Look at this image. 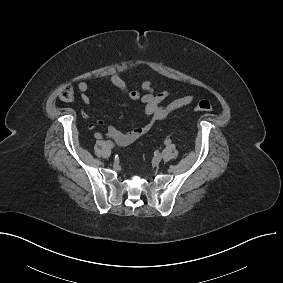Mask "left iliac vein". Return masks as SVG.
<instances>
[{
  "instance_id": "left-iliac-vein-1",
  "label": "left iliac vein",
  "mask_w": 283,
  "mask_h": 283,
  "mask_svg": "<svg viewBox=\"0 0 283 283\" xmlns=\"http://www.w3.org/2000/svg\"><path fill=\"white\" fill-rule=\"evenodd\" d=\"M161 160H162V155H161V154H157V155H155L154 158H153V161H154L156 164L160 163Z\"/></svg>"
}]
</instances>
